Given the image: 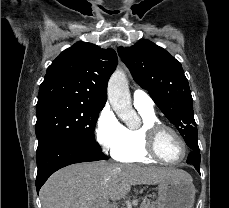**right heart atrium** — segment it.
Returning <instances> with one entry per match:
<instances>
[{"label": "right heart atrium", "mask_w": 229, "mask_h": 208, "mask_svg": "<svg viewBox=\"0 0 229 208\" xmlns=\"http://www.w3.org/2000/svg\"><path fill=\"white\" fill-rule=\"evenodd\" d=\"M94 134L101 148L111 154L125 144L124 126L107 106L102 108L96 118Z\"/></svg>", "instance_id": "right-heart-atrium-1"}]
</instances>
